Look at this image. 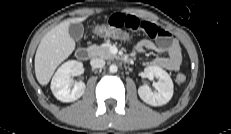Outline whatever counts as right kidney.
<instances>
[{
  "label": "right kidney",
  "instance_id": "1",
  "mask_svg": "<svg viewBox=\"0 0 231 134\" xmlns=\"http://www.w3.org/2000/svg\"><path fill=\"white\" fill-rule=\"evenodd\" d=\"M82 69L83 64L76 60L67 61L58 68L51 81L52 93L58 100L62 102H73L84 94L85 84L80 81L73 85L70 79L71 74H80Z\"/></svg>",
  "mask_w": 231,
  "mask_h": 134
}]
</instances>
